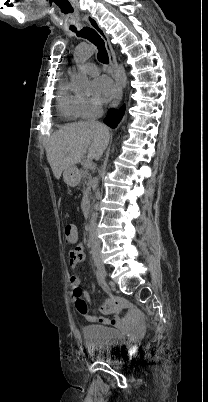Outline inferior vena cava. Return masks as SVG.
<instances>
[{
  "label": "inferior vena cava",
  "instance_id": "1",
  "mask_svg": "<svg viewBox=\"0 0 208 402\" xmlns=\"http://www.w3.org/2000/svg\"><path fill=\"white\" fill-rule=\"evenodd\" d=\"M96 110H98V108H100V106H97V104H94ZM96 118H93V120H91V122H95ZM100 174H102V172H100ZM98 186V180H95L94 184H93V190H96ZM89 240L92 244V246H100V242L98 240V236H97V232H96V218L95 216H92L91 218V222H90V226H89Z\"/></svg>",
  "mask_w": 208,
  "mask_h": 402
}]
</instances>
